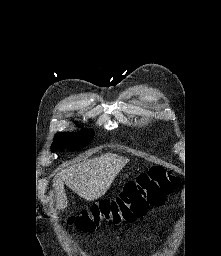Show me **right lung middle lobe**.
<instances>
[{
  "mask_svg": "<svg viewBox=\"0 0 221 256\" xmlns=\"http://www.w3.org/2000/svg\"><path fill=\"white\" fill-rule=\"evenodd\" d=\"M94 137L93 130H84L82 133H58L51 147L54 149H77L89 144Z\"/></svg>",
  "mask_w": 221,
  "mask_h": 256,
  "instance_id": "right-lung-middle-lobe-1",
  "label": "right lung middle lobe"
}]
</instances>
